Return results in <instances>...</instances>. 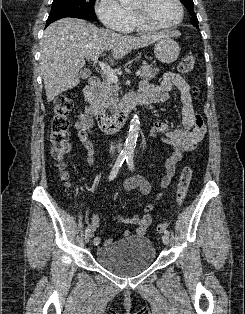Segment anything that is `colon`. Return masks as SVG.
I'll return each instance as SVG.
<instances>
[{
  "instance_id": "colon-1",
  "label": "colon",
  "mask_w": 245,
  "mask_h": 314,
  "mask_svg": "<svg viewBox=\"0 0 245 314\" xmlns=\"http://www.w3.org/2000/svg\"><path fill=\"white\" fill-rule=\"evenodd\" d=\"M195 65V58L193 56H187L183 58L178 64V71L182 74H188L192 71ZM73 107L72 99L66 95H59L54 101V114L51 121V131L49 135L50 141V153L52 158L58 162V166L61 170L62 178L67 179L68 172L66 170L65 160L71 150V144L68 136V114ZM192 179V169L185 167L179 178L176 202L181 205L187 195L190 182ZM169 224L166 222L159 223L156 226L158 233L164 232L168 228Z\"/></svg>"
}]
</instances>
